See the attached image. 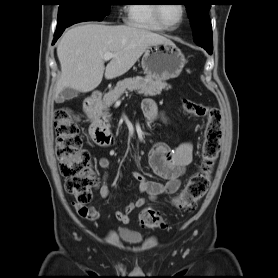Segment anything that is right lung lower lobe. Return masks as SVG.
I'll use <instances>...</instances> for the list:
<instances>
[{"mask_svg": "<svg viewBox=\"0 0 278 278\" xmlns=\"http://www.w3.org/2000/svg\"><path fill=\"white\" fill-rule=\"evenodd\" d=\"M66 29V27L64 28H57L55 35H54V41L53 44L56 42V40L62 35L63 31Z\"/></svg>", "mask_w": 278, "mask_h": 278, "instance_id": "1", "label": "right lung lower lobe"}]
</instances>
